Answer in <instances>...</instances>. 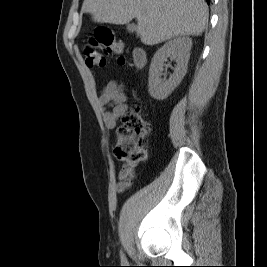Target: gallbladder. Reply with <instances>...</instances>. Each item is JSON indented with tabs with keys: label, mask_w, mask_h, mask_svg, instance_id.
I'll use <instances>...</instances> for the list:
<instances>
[{
	"label": "gallbladder",
	"mask_w": 267,
	"mask_h": 267,
	"mask_svg": "<svg viewBox=\"0 0 267 267\" xmlns=\"http://www.w3.org/2000/svg\"><path fill=\"white\" fill-rule=\"evenodd\" d=\"M137 26L134 23L127 24V30L130 32L136 31Z\"/></svg>",
	"instance_id": "gallbladder-1"
}]
</instances>
